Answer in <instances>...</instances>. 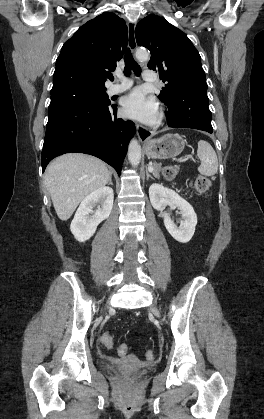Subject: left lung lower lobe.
Wrapping results in <instances>:
<instances>
[{
    "label": "left lung lower lobe",
    "instance_id": "0a47b994",
    "mask_svg": "<svg viewBox=\"0 0 264 419\" xmlns=\"http://www.w3.org/2000/svg\"><path fill=\"white\" fill-rule=\"evenodd\" d=\"M208 101L206 91H196L184 95L180 102H165L169 109L166 112L168 125L172 128H192L212 133Z\"/></svg>",
    "mask_w": 264,
    "mask_h": 419
}]
</instances>
